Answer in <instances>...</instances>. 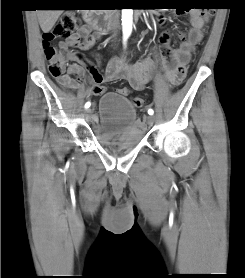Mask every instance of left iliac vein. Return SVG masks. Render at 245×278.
<instances>
[{
  "instance_id": "obj_1",
  "label": "left iliac vein",
  "mask_w": 245,
  "mask_h": 278,
  "mask_svg": "<svg viewBox=\"0 0 245 278\" xmlns=\"http://www.w3.org/2000/svg\"><path fill=\"white\" fill-rule=\"evenodd\" d=\"M154 121H155L154 116L149 115V116L146 117V123H147L149 126H152V125L154 124Z\"/></svg>"
}]
</instances>
